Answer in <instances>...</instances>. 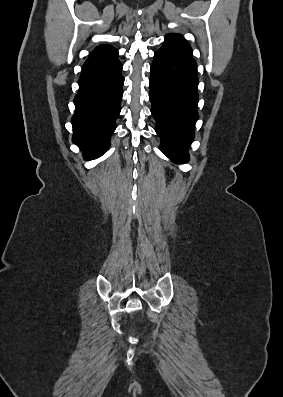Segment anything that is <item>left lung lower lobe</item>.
Wrapping results in <instances>:
<instances>
[{
	"instance_id": "obj_1",
	"label": "left lung lower lobe",
	"mask_w": 283,
	"mask_h": 397,
	"mask_svg": "<svg viewBox=\"0 0 283 397\" xmlns=\"http://www.w3.org/2000/svg\"><path fill=\"white\" fill-rule=\"evenodd\" d=\"M197 64L174 48L163 44L151 65V113L161 151L176 163L189 160L194 125L199 118Z\"/></svg>"
}]
</instances>
